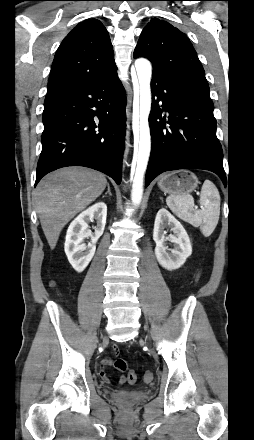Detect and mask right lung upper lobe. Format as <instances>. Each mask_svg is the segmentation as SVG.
Segmentation results:
<instances>
[{"instance_id": "obj_1", "label": "right lung upper lobe", "mask_w": 254, "mask_h": 440, "mask_svg": "<svg viewBox=\"0 0 254 440\" xmlns=\"http://www.w3.org/2000/svg\"><path fill=\"white\" fill-rule=\"evenodd\" d=\"M113 47L97 19L80 22L62 41L52 64L47 92L116 72Z\"/></svg>"}]
</instances>
